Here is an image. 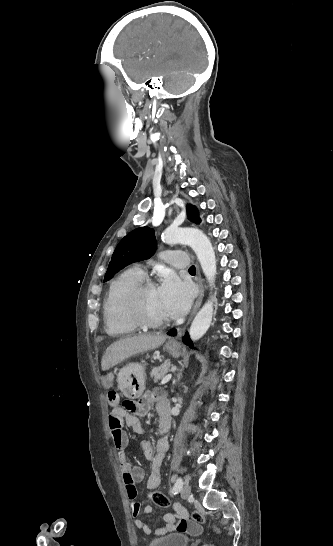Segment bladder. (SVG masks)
<instances>
[{
  "label": "bladder",
  "instance_id": "1",
  "mask_svg": "<svg viewBox=\"0 0 333 546\" xmlns=\"http://www.w3.org/2000/svg\"><path fill=\"white\" fill-rule=\"evenodd\" d=\"M189 537L183 533H171L152 538L148 546H188Z\"/></svg>",
  "mask_w": 333,
  "mask_h": 546
}]
</instances>
